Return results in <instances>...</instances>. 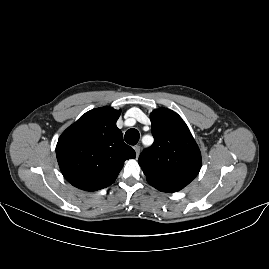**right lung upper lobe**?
Listing matches in <instances>:
<instances>
[{
  "mask_svg": "<svg viewBox=\"0 0 269 269\" xmlns=\"http://www.w3.org/2000/svg\"><path fill=\"white\" fill-rule=\"evenodd\" d=\"M119 116L111 107L90 110L60 136L58 164L73 186L90 192L105 188L115 181L124 161L136 157L116 126Z\"/></svg>",
  "mask_w": 269,
  "mask_h": 269,
  "instance_id": "obj_1",
  "label": "right lung upper lobe"
}]
</instances>
